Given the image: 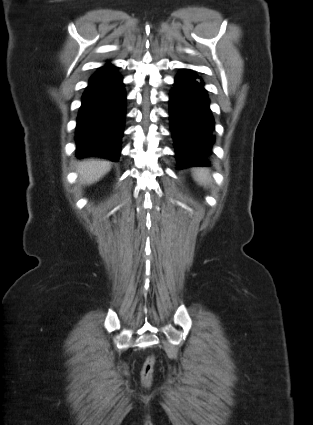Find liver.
<instances>
[{
    "instance_id": "liver-1",
    "label": "liver",
    "mask_w": 313,
    "mask_h": 425,
    "mask_svg": "<svg viewBox=\"0 0 313 425\" xmlns=\"http://www.w3.org/2000/svg\"><path fill=\"white\" fill-rule=\"evenodd\" d=\"M111 169V163L95 159L84 160L78 164L77 172L81 183L93 184Z\"/></svg>"
}]
</instances>
